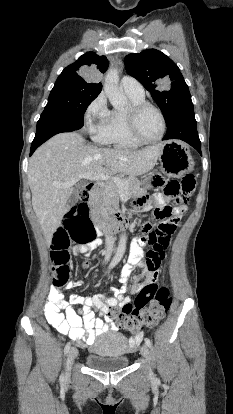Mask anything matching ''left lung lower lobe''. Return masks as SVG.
Instances as JSON below:
<instances>
[{"instance_id": "0a47b994", "label": "left lung lower lobe", "mask_w": 233, "mask_h": 414, "mask_svg": "<svg viewBox=\"0 0 233 414\" xmlns=\"http://www.w3.org/2000/svg\"><path fill=\"white\" fill-rule=\"evenodd\" d=\"M170 139L183 140L201 154V143L197 133V123L192 103L182 107L173 119L167 123V132L163 140Z\"/></svg>"}]
</instances>
